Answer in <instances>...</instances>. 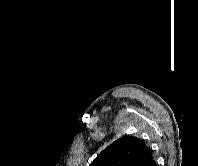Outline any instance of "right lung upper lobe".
<instances>
[{
    "label": "right lung upper lobe",
    "mask_w": 198,
    "mask_h": 166,
    "mask_svg": "<svg viewBox=\"0 0 198 166\" xmlns=\"http://www.w3.org/2000/svg\"><path fill=\"white\" fill-rule=\"evenodd\" d=\"M150 149L137 137L124 136L105 148L90 166H150Z\"/></svg>",
    "instance_id": "right-lung-upper-lobe-1"
}]
</instances>
